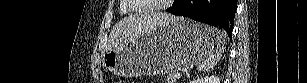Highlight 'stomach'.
I'll use <instances>...</instances> for the list:
<instances>
[{
	"instance_id": "1",
	"label": "stomach",
	"mask_w": 307,
	"mask_h": 83,
	"mask_svg": "<svg viewBox=\"0 0 307 83\" xmlns=\"http://www.w3.org/2000/svg\"><path fill=\"white\" fill-rule=\"evenodd\" d=\"M215 47L214 30L176 17L103 54L105 68L117 76L163 75L201 62Z\"/></svg>"
}]
</instances>
